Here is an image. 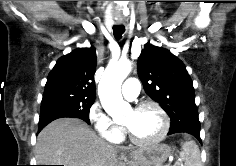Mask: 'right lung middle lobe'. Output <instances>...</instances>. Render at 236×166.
Returning a JSON list of instances; mask_svg holds the SVG:
<instances>
[{
  "label": "right lung middle lobe",
  "mask_w": 236,
  "mask_h": 166,
  "mask_svg": "<svg viewBox=\"0 0 236 166\" xmlns=\"http://www.w3.org/2000/svg\"><path fill=\"white\" fill-rule=\"evenodd\" d=\"M94 101L95 98L65 93L44 94L41 102L39 125L48 124L62 117L80 118L90 123L89 112Z\"/></svg>",
  "instance_id": "right-lung-middle-lobe-1"
}]
</instances>
